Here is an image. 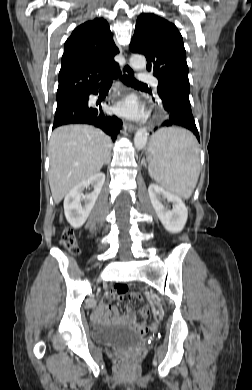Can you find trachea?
<instances>
[{"label": "trachea", "mask_w": 252, "mask_h": 390, "mask_svg": "<svg viewBox=\"0 0 252 390\" xmlns=\"http://www.w3.org/2000/svg\"><path fill=\"white\" fill-rule=\"evenodd\" d=\"M122 81L124 84L128 85V86H147L146 84L144 83H141L139 81H137L136 79L128 76V75H123L122 76ZM112 83H108L105 87H110Z\"/></svg>", "instance_id": "1"}]
</instances>
